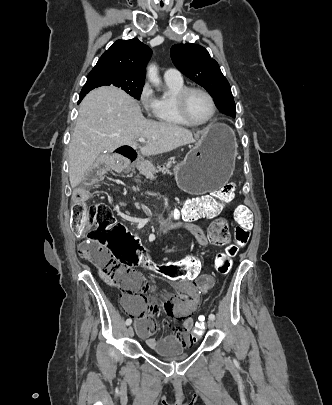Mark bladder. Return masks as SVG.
I'll list each match as a JSON object with an SVG mask.
<instances>
[{
  "mask_svg": "<svg viewBox=\"0 0 332 405\" xmlns=\"http://www.w3.org/2000/svg\"><path fill=\"white\" fill-rule=\"evenodd\" d=\"M154 352L165 360H180L187 356V353L181 350L176 352H169L166 350H155Z\"/></svg>",
  "mask_w": 332,
  "mask_h": 405,
  "instance_id": "obj_1",
  "label": "bladder"
}]
</instances>
